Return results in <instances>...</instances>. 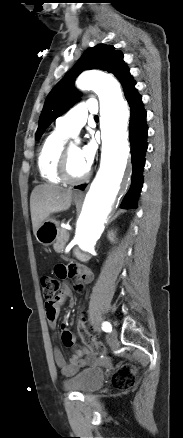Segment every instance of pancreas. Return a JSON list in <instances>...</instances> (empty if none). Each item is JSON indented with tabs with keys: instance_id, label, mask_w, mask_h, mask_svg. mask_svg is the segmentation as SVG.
Returning a JSON list of instances; mask_svg holds the SVG:
<instances>
[{
	"instance_id": "obj_1",
	"label": "pancreas",
	"mask_w": 183,
	"mask_h": 438,
	"mask_svg": "<svg viewBox=\"0 0 183 438\" xmlns=\"http://www.w3.org/2000/svg\"><path fill=\"white\" fill-rule=\"evenodd\" d=\"M68 240H69V232H67L65 229H60L56 243L53 245L54 250L57 253H63Z\"/></svg>"
}]
</instances>
